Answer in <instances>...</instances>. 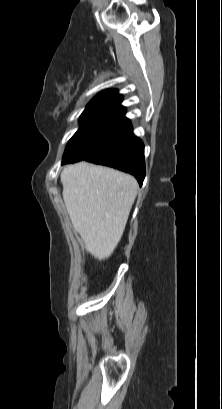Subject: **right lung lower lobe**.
Returning a JSON list of instances; mask_svg holds the SVG:
<instances>
[{
  "label": "right lung lower lobe",
  "mask_w": 222,
  "mask_h": 409,
  "mask_svg": "<svg viewBox=\"0 0 222 409\" xmlns=\"http://www.w3.org/2000/svg\"><path fill=\"white\" fill-rule=\"evenodd\" d=\"M84 160L130 173L140 185L145 178L144 145L133 135L131 123L123 115L102 147Z\"/></svg>",
  "instance_id": "98d812e1"
}]
</instances>
